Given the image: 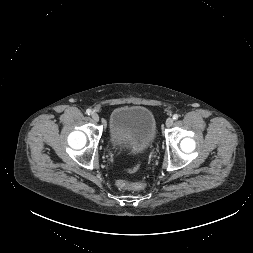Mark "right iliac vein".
I'll use <instances>...</instances> for the list:
<instances>
[{
	"label": "right iliac vein",
	"mask_w": 253,
	"mask_h": 253,
	"mask_svg": "<svg viewBox=\"0 0 253 253\" xmlns=\"http://www.w3.org/2000/svg\"><path fill=\"white\" fill-rule=\"evenodd\" d=\"M91 116H92V119H93L95 122H98V121H99V115H98L97 113L93 112V113L91 114Z\"/></svg>",
	"instance_id": "right-iliac-vein-1"
}]
</instances>
